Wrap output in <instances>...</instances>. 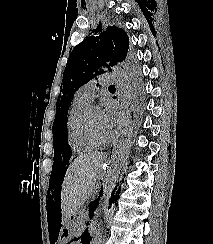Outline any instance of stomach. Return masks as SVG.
Segmentation results:
<instances>
[{
  "mask_svg": "<svg viewBox=\"0 0 213 244\" xmlns=\"http://www.w3.org/2000/svg\"><path fill=\"white\" fill-rule=\"evenodd\" d=\"M79 231V226L75 216L63 223L62 239H58V244H69V239H75V233Z\"/></svg>",
  "mask_w": 213,
  "mask_h": 244,
  "instance_id": "stomach-1",
  "label": "stomach"
}]
</instances>
